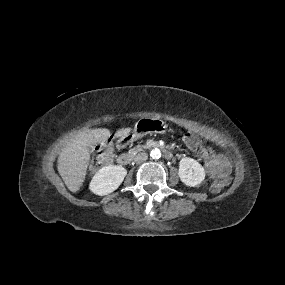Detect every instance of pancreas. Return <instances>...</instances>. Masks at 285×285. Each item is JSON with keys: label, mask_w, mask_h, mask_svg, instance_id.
<instances>
[{"label": "pancreas", "mask_w": 285, "mask_h": 285, "mask_svg": "<svg viewBox=\"0 0 285 285\" xmlns=\"http://www.w3.org/2000/svg\"><path fill=\"white\" fill-rule=\"evenodd\" d=\"M142 148H145V146H138L137 149L141 150Z\"/></svg>", "instance_id": "1"}]
</instances>
